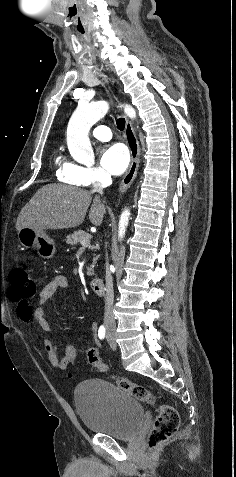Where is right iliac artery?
<instances>
[{"label":"right iliac artery","instance_id":"82829eb1","mask_svg":"<svg viewBox=\"0 0 236 477\" xmlns=\"http://www.w3.org/2000/svg\"><path fill=\"white\" fill-rule=\"evenodd\" d=\"M105 332H106L105 327L100 326V328L98 330V336L101 340L105 338Z\"/></svg>","mask_w":236,"mask_h":477}]
</instances>
